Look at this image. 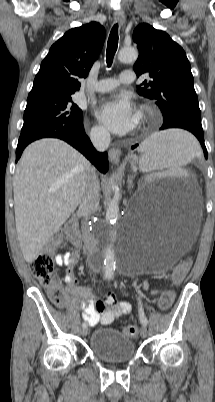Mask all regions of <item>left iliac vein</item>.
I'll list each match as a JSON object with an SVG mask.
<instances>
[{
    "instance_id": "4c4485c4",
    "label": "left iliac vein",
    "mask_w": 215,
    "mask_h": 402,
    "mask_svg": "<svg viewBox=\"0 0 215 402\" xmlns=\"http://www.w3.org/2000/svg\"><path fill=\"white\" fill-rule=\"evenodd\" d=\"M147 334H148V331H147L146 326H142V328H141V330H140V335H141V337H142V338H145V337H147Z\"/></svg>"
}]
</instances>
